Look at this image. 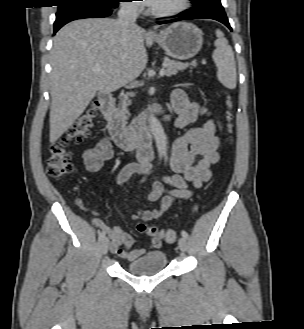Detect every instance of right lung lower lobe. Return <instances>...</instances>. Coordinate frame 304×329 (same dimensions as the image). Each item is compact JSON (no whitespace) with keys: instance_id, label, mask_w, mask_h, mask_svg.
Returning <instances> with one entry per match:
<instances>
[{"instance_id":"1","label":"right lung lower lobe","mask_w":304,"mask_h":329,"mask_svg":"<svg viewBox=\"0 0 304 329\" xmlns=\"http://www.w3.org/2000/svg\"><path fill=\"white\" fill-rule=\"evenodd\" d=\"M118 2L111 6L77 5L62 9L56 13L54 34L66 23L82 18H102L111 14V9L116 8Z\"/></svg>"}]
</instances>
